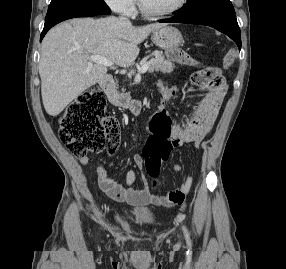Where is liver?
I'll return each mask as SVG.
<instances>
[{"label":"liver","mask_w":286,"mask_h":269,"mask_svg":"<svg viewBox=\"0 0 286 269\" xmlns=\"http://www.w3.org/2000/svg\"><path fill=\"white\" fill-rule=\"evenodd\" d=\"M165 23L135 27L116 17L76 18L52 28L41 46L39 74L46 112L57 116L86 89L101 81L107 66L90 62L101 55L120 67L132 65L138 44Z\"/></svg>","instance_id":"obj_1"}]
</instances>
